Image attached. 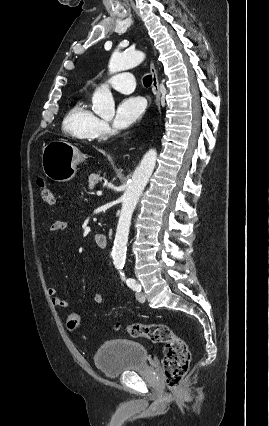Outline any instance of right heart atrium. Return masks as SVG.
Returning a JSON list of instances; mask_svg holds the SVG:
<instances>
[{
	"instance_id": "d8ad5b80",
	"label": "right heart atrium",
	"mask_w": 269,
	"mask_h": 426,
	"mask_svg": "<svg viewBox=\"0 0 269 426\" xmlns=\"http://www.w3.org/2000/svg\"><path fill=\"white\" fill-rule=\"evenodd\" d=\"M96 133H97V137L105 138L111 133V128L106 121L99 120Z\"/></svg>"
}]
</instances>
